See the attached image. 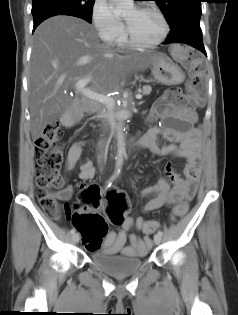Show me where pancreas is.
Segmentation results:
<instances>
[{"instance_id":"1","label":"pancreas","mask_w":238,"mask_h":315,"mask_svg":"<svg viewBox=\"0 0 238 315\" xmlns=\"http://www.w3.org/2000/svg\"><path fill=\"white\" fill-rule=\"evenodd\" d=\"M142 89H143V91H142L143 95H149L152 91V88L150 85H145V86H143Z\"/></svg>"}]
</instances>
